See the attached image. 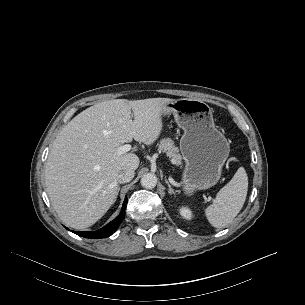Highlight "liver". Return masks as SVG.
Segmentation results:
<instances>
[{
	"instance_id": "1",
	"label": "liver",
	"mask_w": 305,
	"mask_h": 305,
	"mask_svg": "<svg viewBox=\"0 0 305 305\" xmlns=\"http://www.w3.org/2000/svg\"><path fill=\"white\" fill-rule=\"evenodd\" d=\"M172 101L149 98L97 103L60 131L45 164V183L52 206L66 226L87 228L114 204L119 171L135 170L140 163L136 154L119 153L118 148L133 139L153 144L162 131L165 105Z\"/></svg>"
}]
</instances>
